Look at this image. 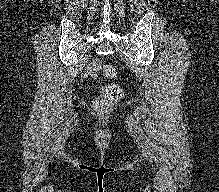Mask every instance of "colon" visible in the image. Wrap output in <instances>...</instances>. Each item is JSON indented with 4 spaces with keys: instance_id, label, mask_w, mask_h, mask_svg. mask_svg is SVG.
<instances>
[{
    "instance_id": "colon-1",
    "label": "colon",
    "mask_w": 219,
    "mask_h": 192,
    "mask_svg": "<svg viewBox=\"0 0 219 192\" xmlns=\"http://www.w3.org/2000/svg\"><path fill=\"white\" fill-rule=\"evenodd\" d=\"M103 73L110 79H114L117 76V71L112 65H104ZM121 96L122 89L119 85L110 84L104 86L102 88L101 96L98 97L93 104L94 111L98 114L107 112L111 106L121 98Z\"/></svg>"
}]
</instances>
